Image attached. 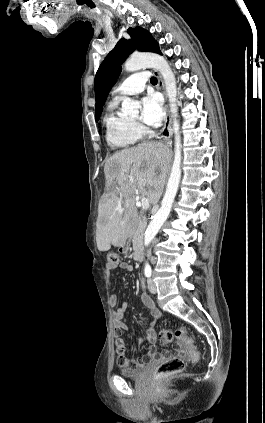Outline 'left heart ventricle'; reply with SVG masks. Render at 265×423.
Returning <instances> with one entry per match:
<instances>
[{
    "instance_id": "b2bd125f",
    "label": "left heart ventricle",
    "mask_w": 265,
    "mask_h": 423,
    "mask_svg": "<svg viewBox=\"0 0 265 423\" xmlns=\"http://www.w3.org/2000/svg\"><path fill=\"white\" fill-rule=\"evenodd\" d=\"M138 119V117H136L134 120L136 121Z\"/></svg>"
}]
</instances>
